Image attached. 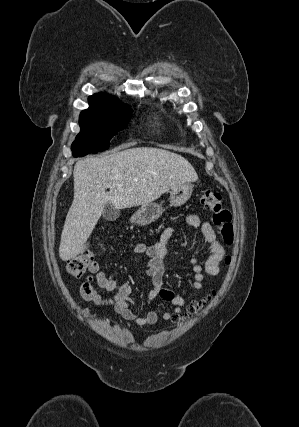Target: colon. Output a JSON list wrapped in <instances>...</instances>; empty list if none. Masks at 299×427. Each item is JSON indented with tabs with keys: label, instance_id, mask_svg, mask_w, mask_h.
<instances>
[{
	"label": "colon",
	"instance_id": "colon-1",
	"mask_svg": "<svg viewBox=\"0 0 299 427\" xmlns=\"http://www.w3.org/2000/svg\"><path fill=\"white\" fill-rule=\"evenodd\" d=\"M201 205L204 209L212 214L214 224L217 226L218 234L227 245H232L234 242V228L232 224L231 211L222 203L220 193L206 190L201 195ZM96 252L94 249H86L75 257L71 258L67 263V273L71 278L78 279L82 277L93 263ZM229 257L227 261H229ZM208 298L194 304L189 312L183 316L188 318L204 308Z\"/></svg>",
	"mask_w": 299,
	"mask_h": 427
}]
</instances>
